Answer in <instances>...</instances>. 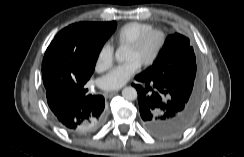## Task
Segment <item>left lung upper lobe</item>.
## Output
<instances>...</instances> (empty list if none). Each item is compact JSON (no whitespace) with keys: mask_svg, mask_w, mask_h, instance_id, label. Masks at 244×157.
<instances>
[{"mask_svg":"<svg viewBox=\"0 0 244 157\" xmlns=\"http://www.w3.org/2000/svg\"><path fill=\"white\" fill-rule=\"evenodd\" d=\"M141 75L158 79L170 92L187 98L199 107L203 83L188 38L170 35L153 65Z\"/></svg>","mask_w":244,"mask_h":157,"instance_id":"1","label":"left lung upper lobe"}]
</instances>
